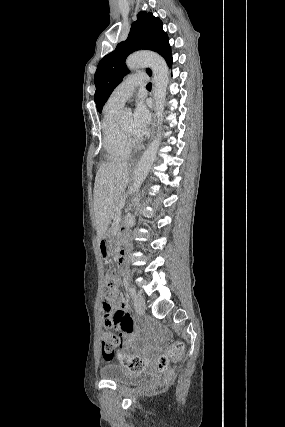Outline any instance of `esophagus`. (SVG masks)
I'll return each mask as SVG.
<instances>
[{"mask_svg": "<svg viewBox=\"0 0 285 427\" xmlns=\"http://www.w3.org/2000/svg\"><path fill=\"white\" fill-rule=\"evenodd\" d=\"M152 117H153V123H152V135H151V139H152V137H153V135H154V131H155V114H156V110H155V106H153V108H152ZM137 163V160H133L132 161V164L134 165V164H136Z\"/></svg>", "mask_w": 285, "mask_h": 427, "instance_id": "1", "label": "esophagus"}]
</instances>
